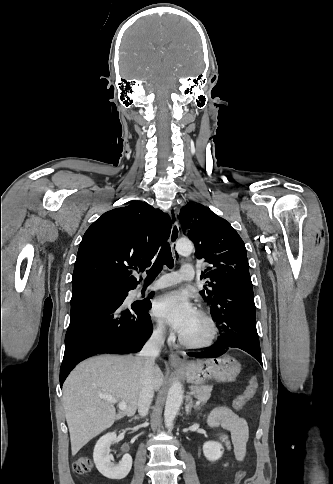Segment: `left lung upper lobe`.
<instances>
[{
	"label": "left lung upper lobe",
	"mask_w": 333,
	"mask_h": 484,
	"mask_svg": "<svg viewBox=\"0 0 333 484\" xmlns=\"http://www.w3.org/2000/svg\"><path fill=\"white\" fill-rule=\"evenodd\" d=\"M179 220L183 230L188 228L187 235L196 245L197 258L207 262L201 276L207 281L200 294L213 305L221 279L249 268L245 244L228 221L201 204L188 203L180 210Z\"/></svg>",
	"instance_id": "1"
}]
</instances>
